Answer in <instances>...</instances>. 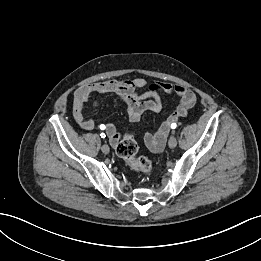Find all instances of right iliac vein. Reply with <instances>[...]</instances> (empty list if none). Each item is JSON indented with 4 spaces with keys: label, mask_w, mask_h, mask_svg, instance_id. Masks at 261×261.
Listing matches in <instances>:
<instances>
[{
    "label": "right iliac vein",
    "mask_w": 261,
    "mask_h": 261,
    "mask_svg": "<svg viewBox=\"0 0 261 261\" xmlns=\"http://www.w3.org/2000/svg\"><path fill=\"white\" fill-rule=\"evenodd\" d=\"M101 150L103 153L108 154L110 151V148L108 145L104 144V145H102Z\"/></svg>",
    "instance_id": "63e3f726"
}]
</instances>
